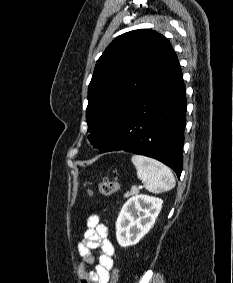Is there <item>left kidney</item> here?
<instances>
[{"label":"left kidney","mask_w":233,"mask_h":283,"mask_svg":"<svg viewBox=\"0 0 233 283\" xmlns=\"http://www.w3.org/2000/svg\"><path fill=\"white\" fill-rule=\"evenodd\" d=\"M162 203L159 198L141 194L130 198L123 205L116 221V238L121 247L137 244L150 231Z\"/></svg>","instance_id":"obj_1"}]
</instances>
